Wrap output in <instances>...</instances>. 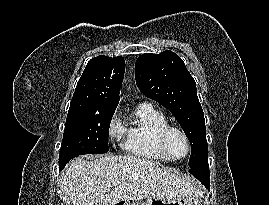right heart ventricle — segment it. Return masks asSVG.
Here are the masks:
<instances>
[{
    "label": "right heart ventricle",
    "instance_id": "1",
    "mask_svg": "<svg viewBox=\"0 0 269 205\" xmlns=\"http://www.w3.org/2000/svg\"><path fill=\"white\" fill-rule=\"evenodd\" d=\"M169 124L166 116L148 104H142L136 113L135 123L126 131L123 143L124 151L132 156L153 162H170L158 149L156 136L158 131Z\"/></svg>",
    "mask_w": 269,
    "mask_h": 205
}]
</instances>
